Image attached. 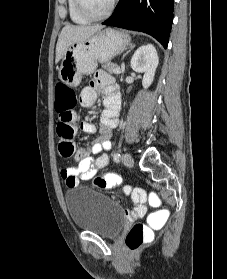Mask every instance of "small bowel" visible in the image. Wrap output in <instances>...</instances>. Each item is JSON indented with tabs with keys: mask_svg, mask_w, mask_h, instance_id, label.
Returning <instances> with one entry per match:
<instances>
[{
	"mask_svg": "<svg viewBox=\"0 0 227 279\" xmlns=\"http://www.w3.org/2000/svg\"><path fill=\"white\" fill-rule=\"evenodd\" d=\"M100 91L103 92L105 105L99 126L100 137L90 145L89 149H73L74 159L78 162V165L76 167H65L61 170V176L69 187H72L69 184L72 177L77 180V183L89 180L109 161L107 152L112 145L111 137L113 130L118 125L120 110V96L114 79L107 73H97L90 85L81 91L79 100L82 107L89 108L96 103ZM71 125L73 128L77 127V121L74 117ZM80 128L87 134H93L97 131V126L88 120L82 121ZM67 143L73 145L71 140L62 138L60 150ZM126 190L129 192L131 189L127 187ZM133 202L136 206L132 214L137 217L142 216L147 211L146 198H139L134 194Z\"/></svg>",
	"mask_w": 227,
	"mask_h": 279,
	"instance_id": "small-bowel-1",
	"label": "small bowel"
}]
</instances>
